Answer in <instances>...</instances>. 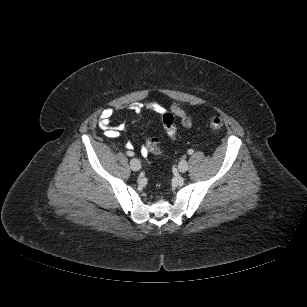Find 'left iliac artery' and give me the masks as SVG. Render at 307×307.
Segmentation results:
<instances>
[{
  "label": "left iliac artery",
  "mask_w": 307,
  "mask_h": 307,
  "mask_svg": "<svg viewBox=\"0 0 307 307\" xmlns=\"http://www.w3.org/2000/svg\"><path fill=\"white\" fill-rule=\"evenodd\" d=\"M193 152H194L193 149H189V150H188V154H189V155L193 154Z\"/></svg>",
  "instance_id": "44dca946"
}]
</instances>
